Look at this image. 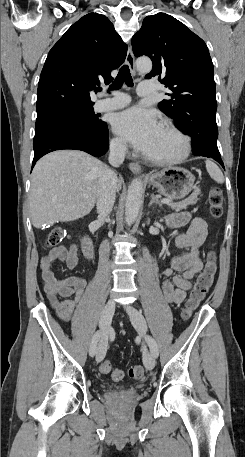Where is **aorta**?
I'll return each mask as SVG.
<instances>
[{
  "mask_svg": "<svg viewBox=\"0 0 245 457\" xmlns=\"http://www.w3.org/2000/svg\"><path fill=\"white\" fill-rule=\"evenodd\" d=\"M138 71L148 73L152 69V62L148 58H140L136 61ZM143 186L140 179L132 180L128 187L125 203V221L128 226L132 225L138 217L142 203Z\"/></svg>",
  "mask_w": 245,
  "mask_h": 457,
  "instance_id": "aorta-1",
  "label": "aorta"
}]
</instances>
